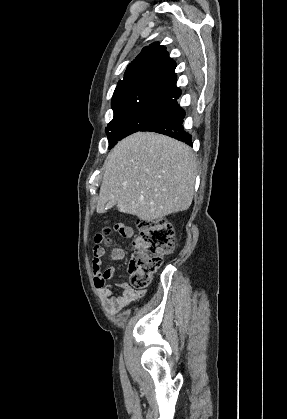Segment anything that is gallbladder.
Segmentation results:
<instances>
[{
    "label": "gallbladder",
    "mask_w": 287,
    "mask_h": 419,
    "mask_svg": "<svg viewBox=\"0 0 287 419\" xmlns=\"http://www.w3.org/2000/svg\"><path fill=\"white\" fill-rule=\"evenodd\" d=\"M115 206V204L113 202H110L106 205L107 210L112 209Z\"/></svg>",
    "instance_id": "obj_1"
}]
</instances>
